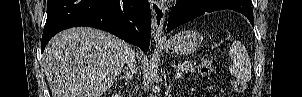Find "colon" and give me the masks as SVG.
Returning a JSON list of instances; mask_svg holds the SVG:
<instances>
[{
	"instance_id": "5ec220e1",
	"label": "colon",
	"mask_w": 302,
	"mask_h": 97,
	"mask_svg": "<svg viewBox=\"0 0 302 97\" xmlns=\"http://www.w3.org/2000/svg\"><path fill=\"white\" fill-rule=\"evenodd\" d=\"M213 70V61L210 58L204 59L199 65V72L203 75H208ZM232 87L236 92H242L245 89L243 81L235 80L232 82Z\"/></svg>"
}]
</instances>
